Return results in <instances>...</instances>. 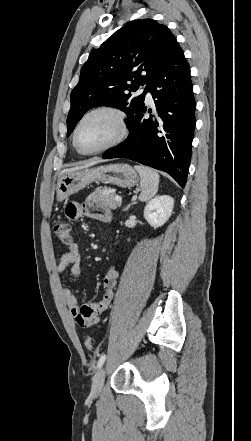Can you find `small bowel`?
I'll return each instance as SVG.
<instances>
[{
    "instance_id": "1",
    "label": "small bowel",
    "mask_w": 251,
    "mask_h": 441,
    "mask_svg": "<svg viewBox=\"0 0 251 441\" xmlns=\"http://www.w3.org/2000/svg\"><path fill=\"white\" fill-rule=\"evenodd\" d=\"M66 215L71 220L89 217L108 224L113 221L112 214L106 207L93 202L80 203L72 201L68 203L66 207ZM69 266L72 276L78 278L81 272V255L79 245L74 240H71L66 245V251L61 256L57 265L58 273L66 274V270ZM117 278V270L114 267L109 268L102 278L105 291L103 297L96 301H87L82 305L78 304L77 298L70 288L66 287L62 290V296L69 312L80 327L89 328L93 326L98 322L99 316L108 309L114 297Z\"/></svg>"
}]
</instances>
